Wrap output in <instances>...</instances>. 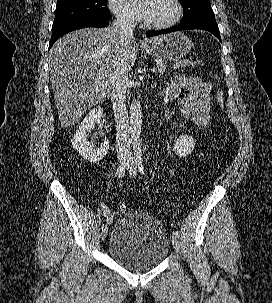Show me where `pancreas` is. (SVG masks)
<instances>
[{
	"mask_svg": "<svg viewBox=\"0 0 272 303\" xmlns=\"http://www.w3.org/2000/svg\"><path fill=\"white\" fill-rule=\"evenodd\" d=\"M156 66H157V70H158L159 74H164L165 73L167 63L164 60H162V59L157 60Z\"/></svg>",
	"mask_w": 272,
	"mask_h": 303,
	"instance_id": "obj_1",
	"label": "pancreas"
}]
</instances>
